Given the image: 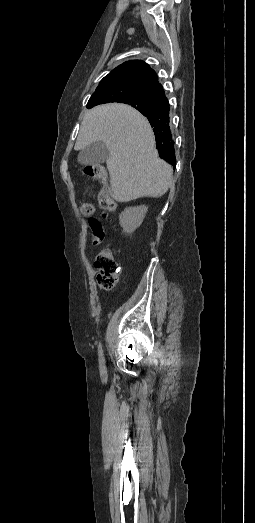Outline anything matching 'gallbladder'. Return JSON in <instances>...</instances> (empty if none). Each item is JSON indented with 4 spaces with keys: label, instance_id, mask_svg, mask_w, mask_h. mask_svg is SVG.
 Masks as SVG:
<instances>
[{
    "label": "gallbladder",
    "instance_id": "bac80fb5",
    "mask_svg": "<svg viewBox=\"0 0 255 523\" xmlns=\"http://www.w3.org/2000/svg\"><path fill=\"white\" fill-rule=\"evenodd\" d=\"M108 158H110L109 150L105 142L100 140V142H92L90 146L81 150L77 160L83 166H101Z\"/></svg>",
    "mask_w": 255,
    "mask_h": 523
}]
</instances>
